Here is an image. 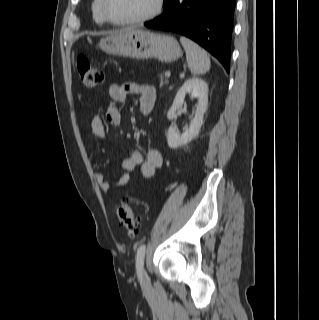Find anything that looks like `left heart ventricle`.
<instances>
[{
	"mask_svg": "<svg viewBox=\"0 0 319 320\" xmlns=\"http://www.w3.org/2000/svg\"><path fill=\"white\" fill-rule=\"evenodd\" d=\"M156 0H106L109 15L115 20L140 17L150 13Z\"/></svg>",
	"mask_w": 319,
	"mask_h": 320,
	"instance_id": "1",
	"label": "left heart ventricle"
}]
</instances>
